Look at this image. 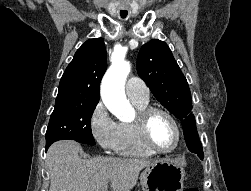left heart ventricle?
Wrapping results in <instances>:
<instances>
[{
	"mask_svg": "<svg viewBox=\"0 0 251 191\" xmlns=\"http://www.w3.org/2000/svg\"><path fill=\"white\" fill-rule=\"evenodd\" d=\"M150 138L155 147L163 152L174 150L178 144V134L173 122L162 113L155 114L151 120Z\"/></svg>",
	"mask_w": 251,
	"mask_h": 191,
	"instance_id": "left-heart-ventricle-1",
	"label": "left heart ventricle"
}]
</instances>
